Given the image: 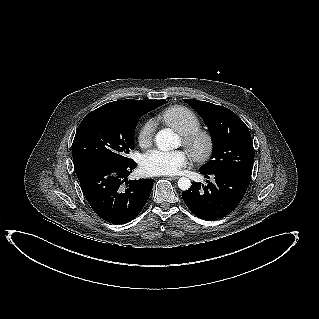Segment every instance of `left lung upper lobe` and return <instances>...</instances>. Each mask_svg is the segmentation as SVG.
Returning <instances> with one entry per match:
<instances>
[{"mask_svg":"<svg viewBox=\"0 0 319 319\" xmlns=\"http://www.w3.org/2000/svg\"><path fill=\"white\" fill-rule=\"evenodd\" d=\"M184 101L203 118L213 138L211 160L200 170L233 171L251 179L255 152L245 123L223 106L193 99Z\"/></svg>","mask_w":319,"mask_h":319,"instance_id":"5c2ea615","label":"left lung upper lobe"}]
</instances>
